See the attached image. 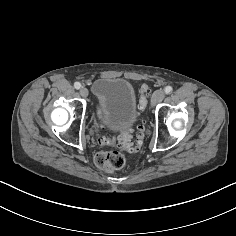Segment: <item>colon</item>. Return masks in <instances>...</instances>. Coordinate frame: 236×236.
Returning a JSON list of instances; mask_svg holds the SVG:
<instances>
[{
	"mask_svg": "<svg viewBox=\"0 0 236 236\" xmlns=\"http://www.w3.org/2000/svg\"><path fill=\"white\" fill-rule=\"evenodd\" d=\"M140 92L141 96L139 99V109L141 111H144L147 105V97L150 92V89L147 85L143 84L140 87ZM125 138L128 139L129 135H126ZM144 138H145V126L141 125L136 142L132 146L127 145V147L132 150L139 149L143 144ZM99 142L102 145H113L116 143L115 139L105 138V137L100 138ZM118 143L124 144V141L119 139ZM126 160L127 159L125 154L120 151H101L98 152L94 157L95 164L99 168L104 169L106 171H114L123 168L126 164Z\"/></svg>",
	"mask_w": 236,
	"mask_h": 236,
	"instance_id": "obj_1",
	"label": "colon"
}]
</instances>
